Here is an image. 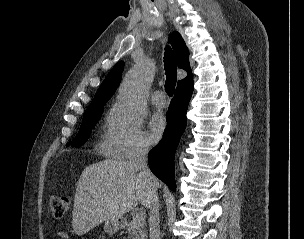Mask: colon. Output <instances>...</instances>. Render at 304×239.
<instances>
[{
	"mask_svg": "<svg viewBox=\"0 0 304 239\" xmlns=\"http://www.w3.org/2000/svg\"><path fill=\"white\" fill-rule=\"evenodd\" d=\"M70 201L68 197L54 195L49 199V208L56 218H62L68 211Z\"/></svg>",
	"mask_w": 304,
	"mask_h": 239,
	"instance_id": "5ec220e1",
	"label": "colon"
}]
</instances>
